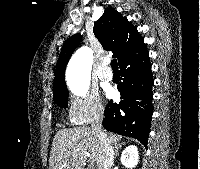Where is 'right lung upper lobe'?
<instances>
[{"label": "right lung upper lobe", "mask_w": 200, "mask_h": 169, "mask_svg": "<svg viewBox=\"0 0 200 169\" xmlns=\"http://www.w3.org/2000/svg\"><path fill=\"white\" fill-rule=\"evenodd\" d=\"M93 31L103 48L112 51L113 56L117 57L119 66L147 51L136 27L112 8L105 9L101 18L95 22ZM81 39L80 34H75L64 43L56 65L53 95L68 92L65 68Z\"/></svg>", "instance_id": "right-lung-upper-lobe-1"}]
</instances>
